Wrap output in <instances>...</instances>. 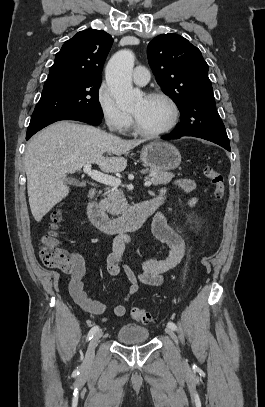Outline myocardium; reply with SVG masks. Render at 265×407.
I'll return each instance as SVG.
<instances>
[{
  "instance_id": "1",
  "label": "myocardium",
  "mask_w": 265,
  "mask_h": 407,
  "mask_svg": "<svg viewBox=\"0 0 265 407\" xmlns=\"http://www.w3.org/2000/svg\"><path fill=\"white\" fill-rule=\"evenodd\" d=\"M144 98L148 99V100L161 99V100H164L165 102H167L172 110V118H171V121L169 122V124L165 128H163L161 130H157V131H146L139 127L135 117L133 115H131L133 131L137 135L144 137V138H158V137L165 136V135L169 134L170 132H172L174 130V128L177 126L179 119H180V108H179L177 102L174 100V98L164 92H159V91L147 93L144 95Z\"/></svg>"
}]
</instances>
